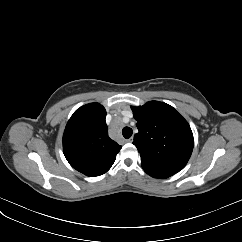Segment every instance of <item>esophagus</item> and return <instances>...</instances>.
I'll use <instances>...</instances> for the list:
<instances>
[{
  "instance_id": "esophagus-1",
  "label": "esophagus",
  "mask_w": 242,
  "mask_h": 242,
  "mask_svg": "<svg viewBox=\"0 0 242 242\" xmlns=\"http://www.w3.org/2000/svg\"><path fill=\"white\" fill-rule=\"evenodd\" d=\"M133 141V137H130L129 139L126 140V142L131 143Z\"/></svg>"
}]
</instances>
